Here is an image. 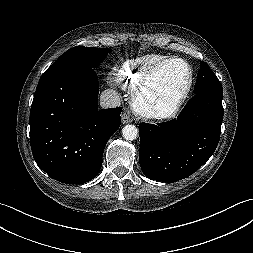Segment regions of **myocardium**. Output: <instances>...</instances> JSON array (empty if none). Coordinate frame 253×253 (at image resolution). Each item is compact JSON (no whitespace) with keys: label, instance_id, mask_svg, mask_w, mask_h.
Listing matches in <instances>:
<instances>
[{"label":"myocardium","instance_id":"obj_1","mask_svg":"<svg viewBox=\"0 0 253 253\" xmlns=\"http://www.w3.org/2000/svg\"><path fill=\"white\" fill-rule=\"evenodd\" d=\"M181 62L186 65L189 77L185 89L176 97L169 109L162 111L152 107L146 100L145 94L155 74L171 62ZM194 83V70L192 65L184 58L170 57L154 65L142 78L133 93V108L142 117L153 120H166L175 117L188 98Z\"/></svg>","mask_w":253,"mask_h":253}]
</instances>
